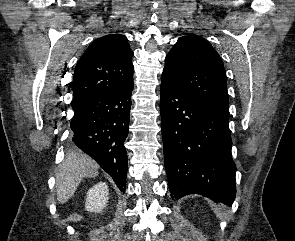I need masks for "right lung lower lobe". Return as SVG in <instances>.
Instances as JSON below:
<instances>
[{
    "label": "right lung lower lobe",
    "mask_w": 295,
    "mask_h": 241,
    "mask_svg": "<svg viewBox=\"0 0 295 241\" xmlns=\"http://www.w3.org/2000/svg\"><path fill=\"white\" fill-rule=\"evenodd\" d=\"M133 83L100 93L72 104V141L113 178L122 192L126 189L128 135Z\"/></svg>",
    "instance_id": "1"
}]
</instances>
